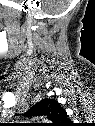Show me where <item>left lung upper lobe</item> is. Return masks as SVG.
Instances as JSON below:
<instances>
[{
	"label": "left lung upper lobe",
	"instance_id": "1",
	"mask_svg": "<svg viewBox=\"0 0 95 126\" xmlns=\"http://www.w3.org/2000/svg\"><path fill=\"white\" fill-rule=\"evenodd\" d=\"M25 116H46L53 123L48 126H65L69 121L65 109L52 99L45 98L31 107Z\"/></svg>",
	"mask_w": 95,
	"mask_h": 126
}]
</instances>
